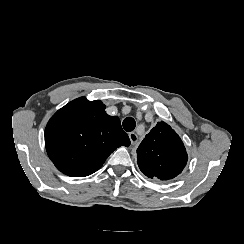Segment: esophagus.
Wrapping results in <instances>:
<instances>
[{
    "mask_svg": "<svg viewBox=\"0 0 244 244\" xmlns=\"http://www.w3.org/2000/svg\"><path fill=\"white\" fill-rule=\"evenodd\" d=\"M129 138H130V141H131V144L132 145H135L138 141V137H137V134L135 132H130L129 133Z\"/></svg>",
    "mask_w": 244,
    "mask_h": 244,
    "instance_id": "34e87169",
    "label": "esophagus"
}]
</instances>
